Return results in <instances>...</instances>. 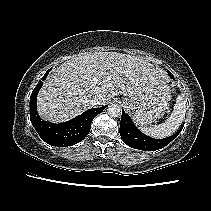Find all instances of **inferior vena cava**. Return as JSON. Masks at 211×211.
<instances>
[{"label":"inferior vena cava","mask_w":211,"mask_h":211,"mask_svg":"<svg viewBox=\"0 0 211 211\" xmlns=\"http://www.w3.org/2000/svg\"><path fill=\"white\" fill-rule=\"evenodd\" d=\"M89 104H90L92 107L101 105V104H102V96H101V95H95V96H93V97L89 100Z\"/></svg>","instance_id":"602c4592"}]
</instances>
